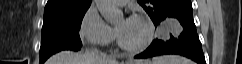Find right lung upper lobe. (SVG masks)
<instances>
[{"label": "right lung upper lobe", "instance_id": "cb5924a9", "mask_svg": "<svg viewBox=\"0 0 242 64\" xmlns=\"http://www.w3.org/2000/svg\"><path fill=\"white\" fill-rule=\"evenodd\" d=\"M92 0H48L44 15L87 11Z\"/></svg>", "mask_w": 242, "mask_h": 64}]
</instances>
